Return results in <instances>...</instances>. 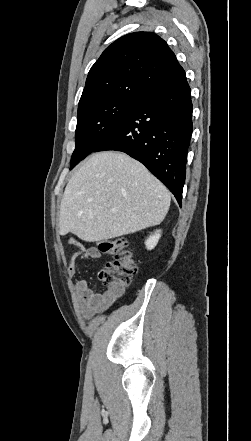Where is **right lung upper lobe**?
<instances>
[{
  "instance_id": "cb5924a9",
  "label": "right lung upper lobe",
  "mask_w": 251,
  "mask_h": 441,
  "mask_svg": "<svg viewBox=\"0 0 251 441\" xmlns=\"http://www.w3.org/2000/svg\"><path fill=\"white\" fill-rule=\"evenodd\" d=\"M181 70L175 54L158 35L127 34L108 46L91 67L78 110L105 98L143 95Z\"/></svg>"
}]
</instances>
